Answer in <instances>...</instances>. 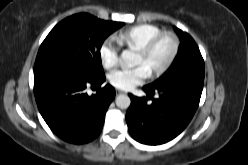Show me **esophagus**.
Returning a JSON list of instances; mask_svg holds the SVG:
<instances>
[{
	"label": "esophagus",
	"mask_w": 248,
	"mask_h": 165,
	"mask_svg": "<svg viewBox=\"0 0 248 165\" xmlns=\"http://www.w3.org/2000/svg\"><path fill=\"white\" fill-rule=\"evenodd\" d=\"M121 93H124V91L119 90V89H116V94H117V95H118V94H121Z\"/></svg>",
	"instance_id": "1"
}]
</instances>
